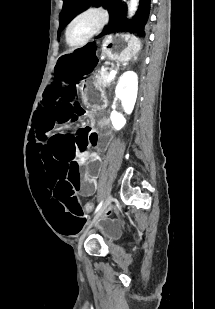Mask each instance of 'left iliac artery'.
Instances as JSON below:
<instances>
[{
    "label": "left iliac artery",
    "instance_id": "left-iliac-artery-1",
    "mask_svg": "<svg viewBox=\"0 0 215 309\" xmlns=\"http://www.w3.org/2000/svg\"><path fill=\"white\" fill-rule=\"evenodd\" d=\"M105 204H106L105 199L101 200L95 210V214H99L103 210Z\"/></svg>",
    "mask_w": 215,
    "mask_h": 309
}]
</instances>
